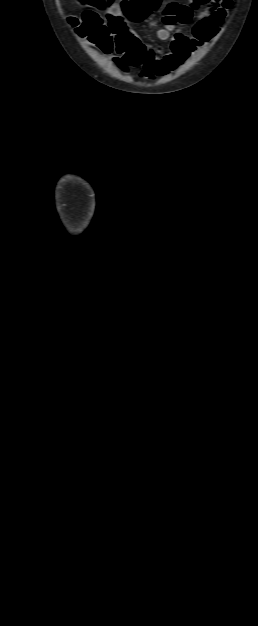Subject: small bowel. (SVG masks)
<instances>
[{"label":"small bowel","mask_w":258,"mask_h":626,"mask_svg":"<svg viewBox=\"0 0 258 626\" xmlns=\"http://www.w3.org/2000/svg\"><path fill=\"white\" fill-rule=\"evenodd\" d=\"M199 3L200 1H196ZM233 0H211L209 10L194 18L193 10L187 5L176 2L167 3L163 8L162 26L157 30V37L166 41L170 39L168 51H156L143 45L130 34L125 26L121 11L114 5L107 13V26L110 37V50L115 49L118 57L114 59L117 66L128 72L129 65H141L144 77H162L184 63L199 47L211 41L220 30L222 21L232 7ZM177 23L192 24L189 31L176 30ZM174 35L171 37V34ZM143 52L142 59L135 63L138 49Z\"/></svg>","instance_id":"c3829d8e"}]
</instances>
